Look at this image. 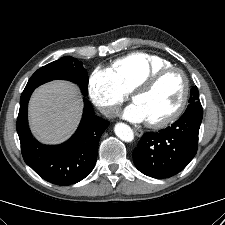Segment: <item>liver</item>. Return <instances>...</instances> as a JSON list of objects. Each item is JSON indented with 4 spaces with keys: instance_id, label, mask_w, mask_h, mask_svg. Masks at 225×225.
Here are the masks:
<instances>
[{
    "instance_id": "6515ba94",
    "label": "liver",
    "mask_w": 225,
    "mask_h": 225,
    "mask_svg": "<svg viewBox=\"0 0 225 225\" xmlns=\"http://www.w3.org/2000/svg\"><path fill=\"white\" fill-rule=\"evenodd\" d=\"M82 110V97L76 85L63 80L46 83L30 99V128L42 143H61L77 128Z\"/></svg>"
}]
</instances>
